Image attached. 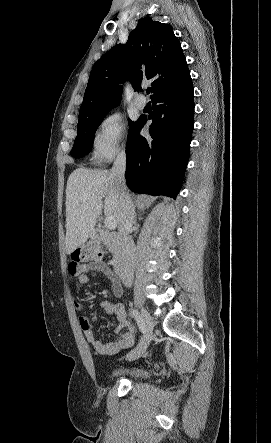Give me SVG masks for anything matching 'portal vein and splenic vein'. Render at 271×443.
Returning a JSON list of instances; mask_svg holds the SVG:
<instances>
[{"instance_id":"portal-vein-and-splenic-vein-1","label":"portal vein and splenic vein","mask_w":271,"mask_h":443,"mask_svg":"<svg viewBox=\"0 0 271 443\" xmlns=\"http://www.w3.org/2000/svg\"><path fill=\"white\" fill-rule=\"evenodd\" d=\"M104 223H105V227H108V229H115V227H117L116 220H114V218H112V216H109V218H106V220H104Z\"/></svg>"}]
</instances>
